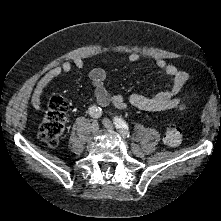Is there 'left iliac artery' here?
Here are the masks:
<instances>
[{"label": "left iliac artery", "instance_id": "1", "mask_svg": "<svg viewBox=\"0 0 221 221\" xmlns=\"http://www.w3.org/2000/svg\"><path fill=\"white\" fill-rule=\"evenodd\" d=\"M114 124L116 128H118L119 132L122 134L123 137L128 138L129 137V127L128 124L121 118L115 117L114 118Z\"/></svg>", "mask_w": 221, "mask_h": 221}]
</instances>
